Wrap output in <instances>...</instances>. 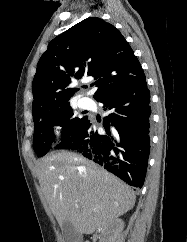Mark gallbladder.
<instances>
[{
	"instance_id": "1",
	"label": "gallbladder",
	"mask_w": 187,
	"mask_h": 242,
	"mask_svg": "<svg viewBox=\"0 0 187 242\" xmlns=\"http://www.w3.org/2000/svg\"><path fill=\"white\" fill-rule=\"evenodd\" d=\"M62 234H63V242H81V235L76 231L74 226L69 222L65 221L62 224Z\"/></svg>"
}]
</instances>
